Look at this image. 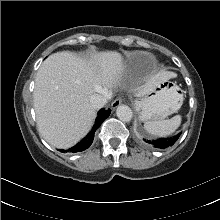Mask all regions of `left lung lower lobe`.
I'll list each match as a JSON object with an SVG mask.
<instances>
[{
  "mask_svg": "<svg viewBox=\"0 0 220 220\" xmlns=\"http://www.w3.org/2000/svg\"><path fill=\"white\" fill-rule=\"evenodd\" d=\"M180 134H178L177 136L175 137H171V138H162V139H157V140H147V139H143V141L154 147V148H161V149H164V148H167L169 146H172L176 141L177 139L179 138Z\"/></svg>",
  "mask_w": 220,
  "mask_h": 220,
  "instance_id": "0a47b994",
  "label": "left lung lower lobe"
}]
</instances>
